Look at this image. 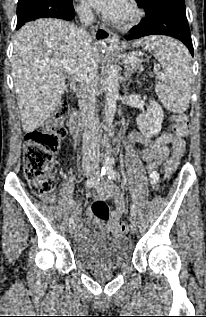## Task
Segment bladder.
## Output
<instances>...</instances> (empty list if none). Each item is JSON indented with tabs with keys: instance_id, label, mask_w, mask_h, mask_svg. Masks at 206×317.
Returning <instances> with one entry per match:
<instances>
[{
	"instance_id": "31cf9c89",
	"label": "bladder",
	"mask_w": 206,
	"mask_h": 317,
	"mask_svg": "<svg viewBox=\"0 0 206 317\" xmlns=\"http://www.w3.org/2000/svg\"><path fill=\"white\" fill-rule=\"evenodd\" d=\"M133 255L132 242L121 234L87 236L74 244L73 256L86 270L119 269Z\"/></svg>"
}]
</instances>
